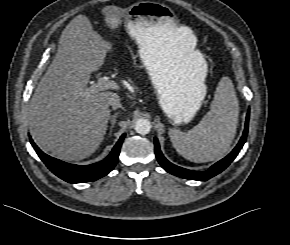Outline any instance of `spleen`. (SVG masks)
Here are the masks:
<instances>
[{"mask_svg": "<svg viewBox=\"0 0 290 245\" xmlns=\"http://www.w3.org/2000/svg\"><path fill=\"white\" fill-rule=\"evenodd\" d=\"M237 118L238 101L232 82L223 78L210 111L188 132H170L171 141L178 153L190 161H212L230 147L236 133Z\"/></svg>", "mask_w": 290, "mask_h": 245, "instance_id": "obj_1", "label": "spleen"}]
</instances>
